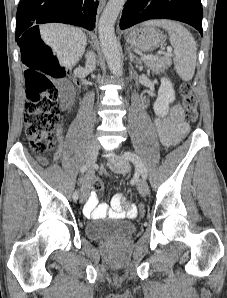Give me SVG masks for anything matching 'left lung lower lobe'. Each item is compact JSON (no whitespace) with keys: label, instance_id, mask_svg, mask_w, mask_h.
I'll return each mask as SVG.
<instances>
[{"label":"left lung lower lobe","instance_id":"obj_1","mask_svg":"<svg viewBox=\"0 0 227 298\" xmlns=\"http://www.w3.org/2000/svg\"><path fill=\"white\" fill-rule=\"evenodd\" d=\"M201 0H128L122 11L120 28L126 29L150 19L185 22L202 35Z\"/></svg>","mask_w":227,"mask_h":298}]
</instances>
